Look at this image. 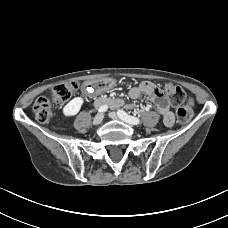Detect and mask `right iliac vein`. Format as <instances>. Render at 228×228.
<instances>
[{
	"label": "right iliac vein",
	"mask_w": 228,
	"mask_h": 228,
	"mask_svg": "<svg viewBox=\"0 0 228 228\" xmlns=\"http://www.w3.org/2000/svg\"><path fill=\"white\" fill-rule=\"evenodd\" d=\"M104 115L102 113L97 114L93 119V124L98 125L103 121Z\"/></svg>",
	"instance_id": "1"
}]
</instances>
